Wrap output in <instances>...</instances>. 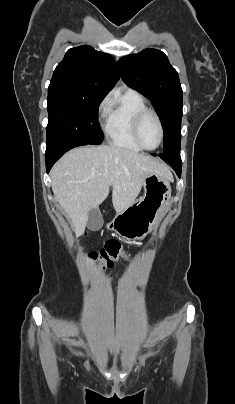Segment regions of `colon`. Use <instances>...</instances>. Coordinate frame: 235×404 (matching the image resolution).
<instances>
[{
    "label": "colon",
    "mask_w": 235,
    "mask_h": 404,
    "mask_svg": "<svg viewBox=\"0 0 235 404\" xmlns=\"http://www.w3.org/2000/svg\"><path fill=\"white\" fill-rule=\"evenodd\" d=\"M130 259L131 254L118 240H109L98 250L87 254L88 261L98 269L111 268L118 259Z\"/></svg>",
    "instance_id": "colon-1"
}]
</instances>
